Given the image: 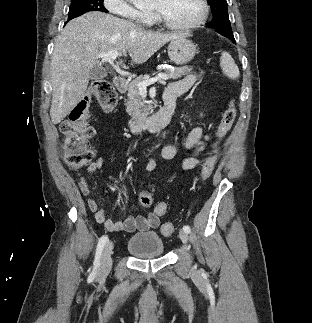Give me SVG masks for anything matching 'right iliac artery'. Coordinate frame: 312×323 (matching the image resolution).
Returning <instances> with one entry per match:
<instances>
[{
  "label": "right iliac artery",
  "instance_id": "82829eb1",
  "mask_svg": "<svg viewBox=\"0 0 312 323\" xmlns=\"http://www.w3.org/2000/svg\"><path fill=\"white\" fill-rule=\"evenodd\" d=\"M108 240V237L106 235H103L99 241H98V245H97V249H96V255H95V260H94V272L97 270V268L100 266V257H101V253L102 250L104 248V245L106 244Z\"/></svg>",
  "mask_w": 312,
  "mask_h": 323
}]
</instances>
